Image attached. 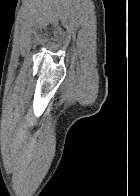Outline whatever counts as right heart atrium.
<instances>
[{
	"instance_id": "right-heart-atrium-1",
	"label": "right heart atrium",
	"mask_w": 140,
	"mask_h": 196,
	"mask_svg": "<svg viewBox=\"0 0 140 196\" xmlns=\"http://www.w3.org/2000/svg\"><path fill=\"white\" fill-rule=\"evenodd\" d=\"M11 192H36V191H11Z\"/></svg>"
}]
</instances>
